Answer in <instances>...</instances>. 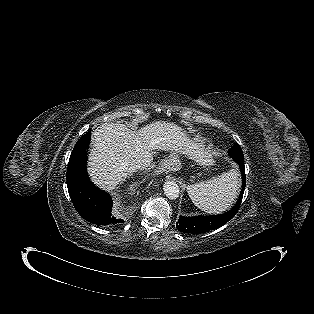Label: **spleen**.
I'll return each mask as SVG.
<instances>
[{"label": "spleen", "mask_w": 314, "mask_h": 314, "mask_svg": "<svg viewBox=\"0 0 314 314\" xmlns=\"http://www.w3.org/2000/svg\"><path fill=\"white\" fill-rule=\"evenodd\" d=\"M239 174L230 170L208 181L189 185L187 192L196 207L206 213H221L234 202L239 189Z\"/></svg>", "instance_id": "3e777b00"}]
</instances>
